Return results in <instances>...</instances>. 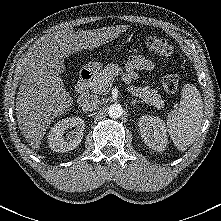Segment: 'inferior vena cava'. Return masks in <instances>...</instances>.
Segmentation results:
<instances>
[{
  "label": "inferior vena cava",
  "mask_w": 221,
  "mask_h": 221,
  "mask_svg": "<svg viewBox=\"0 0 221 221\" xmlns=\"http://www.w3.org/2000/svg\"><path fill=\"white\" fill-rule=\"evenodd\" d=\"M101 104H102L101 100L98 99L97 97H94L91 100L86 101L83 104L82 109L85 112H92L95 111Z\"/></svg>",
  "instance_id": "602c4592"
}]
</instances>
